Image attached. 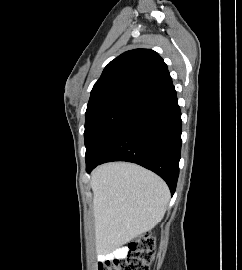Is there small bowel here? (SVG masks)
I'll return each mask as SVG.
<instances>
[{
  "mask_svg": "<svg viewBox=\"0 0 242 270\" xmlns=\"http://www.w3.org/2000/svg\"><path fill=\"white\" fill-rule=\"evenodd\" d=\"M125 254H126V249L125 248L116 249L112 253L101 256L98 264L99 265L106 264L107 262H110L113 258H115V257H123V256H125Z\"/></svg>",
  "mask_w": 242,
  "mask_h": 270,
  "instance_id": "obj_1",
  "label": "small bowel"
}]
</instances>
